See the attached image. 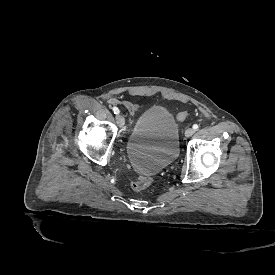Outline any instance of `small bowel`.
Instances as JSON below:
<instances>
[{"instance_id": "1", "label": "small bowel", "mask_w": 275, "mask_h": 275, "mask_svg": "<svg viewBox=\"0 0 275 275\" xmlns=\"http://www.w3.org/2000/svg\"><path fill=\"white\" fill-rule=\"evenodd\" d=\"M111 105H120L126 108L132 115L136 114L140 110L138 104L132 103L127 100H120L118 98H110L108 101Z\"/></svg>"}]
</instances>
